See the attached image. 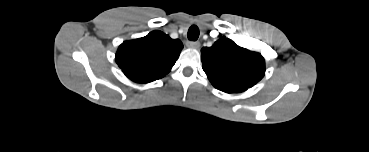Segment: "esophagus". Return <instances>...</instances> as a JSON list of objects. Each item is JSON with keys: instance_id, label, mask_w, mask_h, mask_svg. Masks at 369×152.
<instances>
[{"instance_id": "esophagus-1", "label": "esophagus", "mask_w": 369, "mask_h": 152, "mask_svg": "<svg viewBox=\"0 0 369 152\" xmlns=\"http://www.w3.org/2000/svg\"><path fill=\"white\" fill-rule=\"evenodd\" d=\"M187 46L189 48L199 49L200 43L198 41H189V42H187Z\"/></svg>"}]
</instances>
